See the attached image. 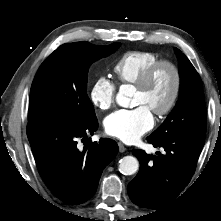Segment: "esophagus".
Here are the masks:
<instances>
[{"instance_id": "1", "label": "esophagus", "mask_w": 221, "mask_h": 221, "mask_svg": "<svg viewBox=\"0 0 221 221\" xmlns=\"http://www.w3.org/2000/svg\"><path fill=\"white\" fill-rule=\"evenodd\" d=\"M118 146H119V151L120 152H125L126 151V147L124 146V144L122 142H118Z\"/></svg>"}]
</instances>
